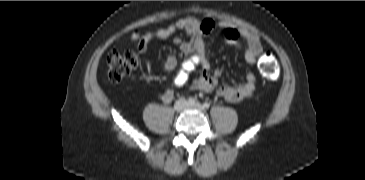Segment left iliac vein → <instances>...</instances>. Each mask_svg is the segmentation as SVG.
Listing matches in <instances>:
<instances>
[{
    "mask_svg": "<svg viewBox=\"0 0 365 180\" xmlns=\"http://www.w3.org/2000/svg\"><path fill=\"white\" fill-rule=\"evenodd\" d=\"M186 108L187 109H196L200 112H203L205 110L204 106L201 105L200 103H196L194 105H187Z\"/></svg>",
    "mask_w": 365,
    "mask_h": 180,
    "instance_id": "left-iliac-vein-1",
    "label": "left iliac vein"
}]
</instances>
